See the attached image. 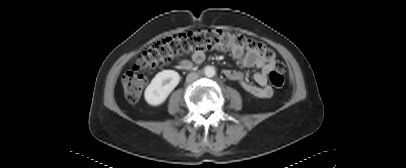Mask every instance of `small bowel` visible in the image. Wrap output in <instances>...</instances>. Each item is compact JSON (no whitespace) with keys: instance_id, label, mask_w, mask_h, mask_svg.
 <instances>
[{"instance_id":"1","label":"small bowel","mask_w":406,"mask_h":168,"mask_svg":"<svg viewBox=\"0 0 406 168\" xmlns=\"http://www.w3.org/2000/svg\"><path fill=\"white\" fill-rule=\"evenodd\" d=\"M233 57L244 67L259 69L258 72L253 74V79L256 82L252 84L246 80L243 72L237 70L227 69L224 75L233 81H237L243 90L247 93L262 99L270 98L273 94L272 88L267 83V77L271 70L275 68V61H266L260 54L254 50H233ZM206 54L203 51H196L193 54V61L201 63L205 60Z\"/></svg>"}]
</instances>
